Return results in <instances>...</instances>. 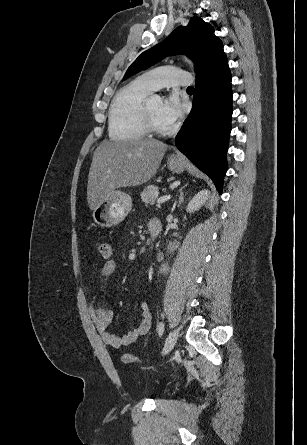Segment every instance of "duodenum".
<instances>
[{
	"label": "duodenum",
	"mask_w": 307,
	"mask_h": 445,
	"mask_svg": "<svg viewBox=\"0 0 307 445\" xmlns=\"http://www.w3.org/2000/svg\"><path fill=\"white\" fill-rule=\"evenodd\" d=\"M159 234H160L159 229H156V228L150 229V237H149V241H148V245L150 247L153 246V244H154L155 240L157 239V237L159 236Z\"/></svg>",
	"instance_id": "duodenum-1"
}]
</instances>
